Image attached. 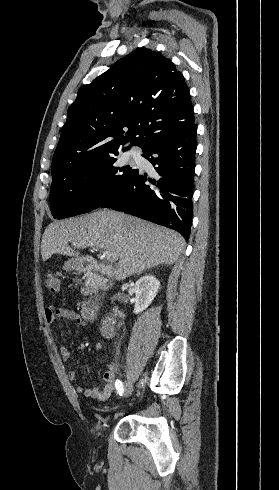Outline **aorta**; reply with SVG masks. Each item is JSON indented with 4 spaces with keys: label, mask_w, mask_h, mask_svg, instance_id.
<instances>
[{
    "label": "aorta",
    "mask_w": 279,
    "mask_h": 490,
    "mask_svg": "<svg viewBox=\"0 0 279 490\" xmlns=\"http://www.w3.org/2000/svg\"><path fill=\"white\" fill-rule=\"evenodd\" d=\"M104 330H105V332H106V333H108V334H109V333H110V331H111V326H109V325L104 326Z\"/></svg>",
    "instance_id": "obj_1"
}]
</instances>
